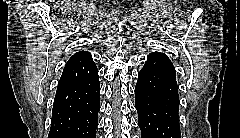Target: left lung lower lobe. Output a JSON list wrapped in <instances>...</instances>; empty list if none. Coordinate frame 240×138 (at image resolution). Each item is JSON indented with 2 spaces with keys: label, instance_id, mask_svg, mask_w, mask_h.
Here are the masks:
<instances>
[{
  "label": "left lung lower lobe",
  "instance_id": "1",
  "mask_svg": "<svg viewBox=\"0 0 240 138\" xmlns=\"http://www.w3.org/2000/svg\"><path fill=\"white\" fill-rule=\"evenodd\" d=\"M175 68L164 53L147 56L138 74L135 105L141 138H180Z\"/></svg>",
  "mask_w": 240,
  "mask_h": 138
}]
</instances>
